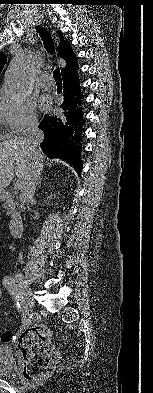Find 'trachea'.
Instances as JSON below:
<instances>
[{"instance_id": "trachea-1", "label": "trachea", "mask_w": 153, "mask_h": 393, "mask_svg": "<svg viewBox=\"0 0 153 393\" xmlns=\"http://www.w3.org/2000/svg\"><path fill=\"white\" fill-rule=\"evenodd\" d=\"M37 32L39 33L47 52L50 54L54 53L55 46L50 32L41 26L37 27ZM53 77L57 84H62L61 72L59 68L54 70Z\"/></svg>"}]
</instances>
